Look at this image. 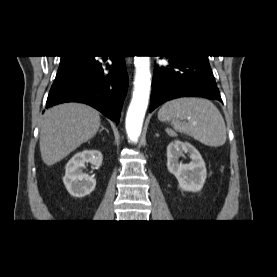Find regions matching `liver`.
<instances>
[{
  "label": "liver",
  "instance_id": "6515ba94",
  "mask_svg": "<svg viewBox=\"0 0 277 277\" xmlns=\"http://www.w3.org/2000/svg\"><path fill=\"white\" fill-rule=\"evenodd\" d=\"M100 127L99 113L90 106L67 103L50 108L40 123V152L51 166L93 138Z\"/></svg>",
  "mask_w": 277,
  "mask_h": 277
}]
</instances>
